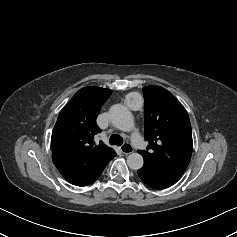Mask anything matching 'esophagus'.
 Returning a JSON list of instances; mask_svg holds the SVG:
<instances>
[{
	"instance_id": "34e87169",
	"label": "esophagus",
	"mask_w": 237,
	"mask_h": 237,
	"mask_svg": "<svg viewBox=\"0 0 237 237\" xmlns=\"http://www.w3.org/2000/svg\"><path fill=\"white\" fill-rule=\"evenodd\" d=\"M120 150L125 155H128L133 152V148L129 144H124V145L120 146Z\"/></svg>"
}]
</instances>
